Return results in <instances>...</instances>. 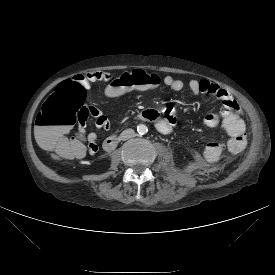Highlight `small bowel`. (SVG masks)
Wrapping results in <instances>:
<instances>
[{"mask_svg":"<svg viewBox=\"0 0 275 275\" xmlns=\"http://www.w3.org/2000/svg\"><path fill=\"white\" fill-rule=\"evenodd\" d=\"M110 76L102 72H94L90 74H78L73 77V80L80 82L85 88H89L95 81H108ZM165 86L169 87L173 91H181L185 84L182 80L176 79L172 76H165L163 79ZM189 88L194 94H210L216 96L221 100L223 109L227 113L235 111L239 114V106L234 98L222 87L212 84L209 80L197 81L191 80L189 82ZM92 114L85 124H79L78 136L86 144V150L88 154L93 155L98 151L99 136L95 132L86 133L87 123L94 124L95 127L103 130H108L109 124L106 117L102 112L93 107ZM240 115V114H239ZM147 116L152 123H155L156 128L164 134L171 133L175 127L177 121L176 110L173 107H168L162 111L153 107L149 109ZM203 122L208 127H216L220 124V120L217 117V113L209 112L203 117ZM222 126V125H221ZM224 128V127H223ZM229 136V142L224 145L223 141L218 138H213L208 141L202 150V155L205 160L214 162L218 160L226 150L229 154L240 152L246 145L245 138V123L240 117V124L235 129H225Z\"/></svg>","mask_w":275,"mask_h":275,"instance_id":"obj_1","label":"small bowel"}]
</instances>
